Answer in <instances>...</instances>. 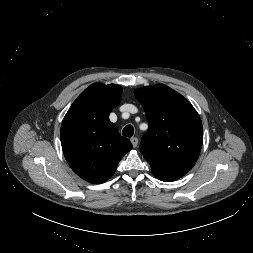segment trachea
Wrapping results in <instances>:
<instances>
[{"mask_svg":"<svg viewBox=\"0 0 253 253\" xmlns=\"http://www.w3.org/2000/svg\"><path fill=\"white\" fill-rule=\"evenodd\" d=\"M134 134V128L132 125H127L122 131V135L125 137H132Z\"/></svg>","mask_w":253,"mask_h":253,"instance_id":"obj_1","label":"trachea"}]
</instances>
